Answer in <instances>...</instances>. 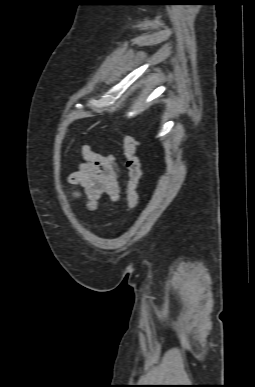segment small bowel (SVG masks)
<instances>
[{"label": "small bowel", "mask_w": 255, "mask_h": 387, "mask_svg": "<svg viewBox=\"0 0 255 387\" xmlns=\"http://www.w3.org/2000/svg\"><path fill=\"white\" fill-rule=\"evenodd\" d=\"M82 157L83 162L70 174L69 182L82 188L88 208L96 209L98 200L104 195L117 201L120 195V169L115 158L98 153L88 145L82 148Z\"/></svg>", "instance_id": "obj_1"}]
</instances>
